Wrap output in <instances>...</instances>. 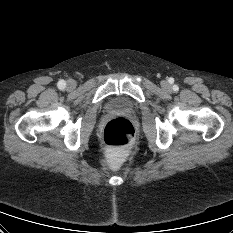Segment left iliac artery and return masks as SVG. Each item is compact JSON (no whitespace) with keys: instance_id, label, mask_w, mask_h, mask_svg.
I'll list each match as a JSON object with an SVG mask.
<instances>
[{"instance_id":"left-iliac-artery-1","label":"left iliac artery","mask_w":233,"mask_h":233,"mask_svg":"<svg viewBox=\"0 0 233 233\" xmlns=\"http://www.w3.org/2000/svg\"><path fill=\"white\" fill-rule=\"evenodd\" d=\"M174 90H175V91L178 90V87H177V86H174Z\"/></svg>"}]
</instances>
